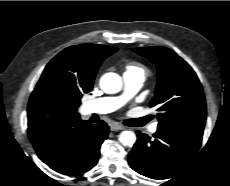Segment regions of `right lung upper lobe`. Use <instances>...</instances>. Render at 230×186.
Masks as SVG:
<instances>
[{
    "mask_svg": "<svg viewBox=\"0 0 230 186\" xmlns=\"http://www.w3.org/2000/svg\"><path fill=\"white\" fill-rule=\"evenodd\" d=\"M117 48L81 44L64 49L45 67L28 104V136L33 144L74 127L83 120L77 113L102 61Z\"/></svg>",
    "mask_w": 230,
    "mask_h": 186,
    "instance_id": "1",
    "label": "right lung upper lobe"
}]
</instances>
